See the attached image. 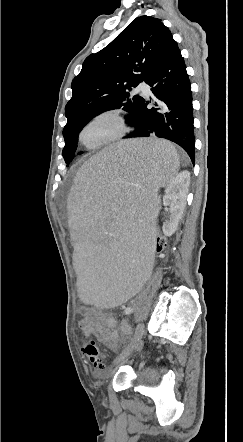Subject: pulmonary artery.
<instances>
[{
	"instance_id": "1",
	"label": "pulmonary artery",
	"mask_w": 243,
	"mask_h": 442,
	"mask_svg": "<svg viewBox=\"0 0 243 442\" xmlns=\"http://www.w3.org/2000/svg\"><path fill=\"white\" fill-rule=\"evenodd\" d=\"M135 91H136V92H139V93H142V94H144L145 96H150V95H151L150 87H149L146 83H144V82L140 83V84L136 87Z\"/></svg>"
}]
</instances>
